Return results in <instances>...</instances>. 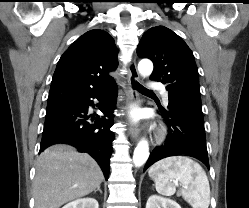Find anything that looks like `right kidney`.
Segmentation results:
<instances>
[{
  "instance_id": "obj_1",
  "label": "right kidney",
  "mask_w": 249,
  "mask_h": 208,
  "mask_svg": "<svg viewBox=\"0 0 249 208\" xmlns=\"http://www.w3.org/2000/svg\"><path fill=\"white\" fill-rule=\"evenodd\" d=\"M62 208H99V204L94 198H83L72 201Z\"/></svg>"
}]
</instances>
